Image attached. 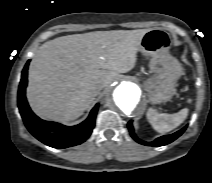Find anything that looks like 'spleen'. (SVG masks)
Listing matches in <instances>:
<instances>
[{
  "instance_id": "spleen-1",
  "label": "spleen",
  "mask_w": 212,
  "mask_h": 183,
  "mask_svg": "<svg viewBox=\"0 0 212 183\" xmlns=\"http://www.w3.org/2000/svg\"><path fill=\"white\" fill-rule=\"evenodd\" d=\"M188 112V109L184 108L177 113L167 114L158 113L155 109L149 108L146 116L154 130L159 133H166L182 124L187 118Z\"/></svg>"
}]
</instances>
